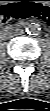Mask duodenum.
Returning <instances> with one entry per match:
<instances>
[{
  "label": "duodenum",
  "instance_id": "410a0bca",
  "mask_svg": "<svg viewBox=\"0 0 50 111\" xmlns=\"http://www.w3.org/2000/svg\"><path fill=\"white\" fill-rule=\"evenodd\" d=\"M21 26H22L21 24H18V25H15V26L4 27L1 31V37L2 38H7L9 35H11L14 32V30L16 28H19Z\"/></svg>",
  "mask_w": 50,
  "mask_h": 111
}]
</instances>
